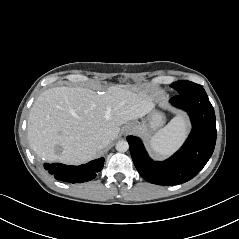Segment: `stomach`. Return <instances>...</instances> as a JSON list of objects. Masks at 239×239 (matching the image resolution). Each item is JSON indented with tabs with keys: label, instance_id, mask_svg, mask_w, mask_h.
I'll return each mask as SVG.
<instances>
[{
	"label": "stomach",
	"instance_id": "obj_1",
	"mask_svg": "<svg viewBox=\"0 0 239 239\" xmlns=\"http://www.w3.org/2000/svg\"><path fill=\"white\" fill-rule=\"evenodd\" d=\"M165 123V117L159 112H153L143 119L140 123H137V131L144 135H151Z\"/></svg>",
	"mask_w": 239,
	"mask_h": 239
}]
</instances>
